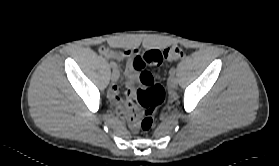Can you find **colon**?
<instances>
[{
  "mask_svg": "<svg viewBox=\"0 0 279 166\" xmlns=\"http://www.w3.org/2000/svg\"><path fill=\"white\" fill-rule=\"evenodd\" d=\"M182 57V48L172 45L163 51L149 50L134 58L132 66L135 71L139 72L141 85V88L135 94L137 95L136 102L142 109V116L139 122L142 131L146 132L152 128L155 113L166 98L165 89L154 82L152 74L146 68L159 64L163 60L176 62Z\"/></svg>",
  "mask_w": 279,
  "mask_h": 166,
  "instance_id": "5ec220e1",
  "label": "colon"
}]
</instances>
